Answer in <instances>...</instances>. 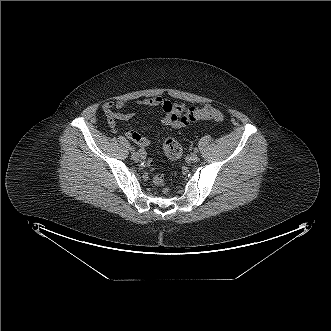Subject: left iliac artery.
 I'll return each instance as SVG.
<instances>
[{
    "label": "left iliac artery",
    "mask_w": 331,
    "mask_h": 331,
    "mask_svg": "<svg viewBox=\"0 0 331 331\" xmlns=\"http://www.w3.org/2000/svg\"><path fill=\"white\" fill-rule=\"evenodd\" d=\"M194 152L197 153L198 152V149L197 148H194Z\"/></svg>",
    "instance_id": "obj_1"
}]
</instances>
